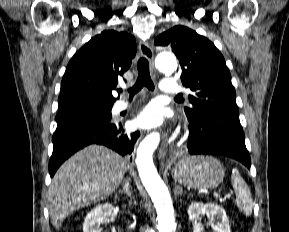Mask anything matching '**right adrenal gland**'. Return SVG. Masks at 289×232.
<instances>
[{"label": "right adrenal gland", "instance_id": "1", "mask_svg": "<svg viewBox=\"0 0 289 232\" xmlns=\"http://www.w3.org/2000/svg\"><path fill=\"white\" fill-rule=\"evenodd\" d=\"M119 193H124L130 198L132 197V192H131V186L128 180H125V183L123 185L122 190L119 191Z\"/></svg>", "mask_w": 289, "mask_h": 232}]
</instances>
